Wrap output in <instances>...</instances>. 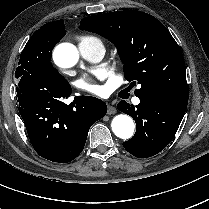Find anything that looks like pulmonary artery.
Masks as SVG:
<instances>
[{"instance_id":"e3ab8cb5","label":"pulmonary artery","mask_w":209,"mask_h":209,"mask_svg":"<svg viewBox=\"0 0 209 209\" xmlns=\"http://www.w3.org/2000/svg\"><path fill=\"white\" fill-rule=\"evenodd\" d=\"M78 48L81 56L92 62L101 61L105 54L104 46L99 41L80 43ZM132 102L133 104L138 105L140 99L138 97H132Z\"/></svg>"}]
</instances>
